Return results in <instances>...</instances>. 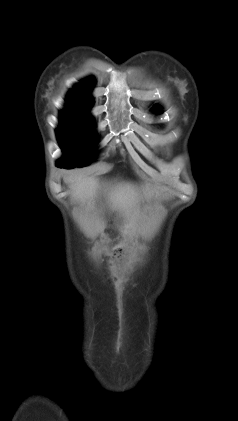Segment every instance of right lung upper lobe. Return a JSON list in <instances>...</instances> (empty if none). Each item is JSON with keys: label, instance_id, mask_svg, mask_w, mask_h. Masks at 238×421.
Instances as JSON below:
<instances>
[{"label": "right lung upper lobe", "instance_id": "cb5924a9", "mask_svg": "<svg viewBox=\"0 0 238 421\" xmlns=\"http://www.w3.org/2000/svg\"><path fill=\"white\" fill-rule=\"evenodd\" d=\"M93 80L88 79L83 82L81 89L71 90L67 96V102L90 104L92 98L89 95V90L92 88Z\"/></svg>", "mask_w": 238, "mask_h": 421}]
</instances>
